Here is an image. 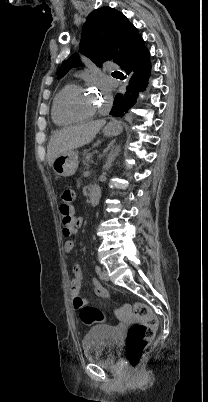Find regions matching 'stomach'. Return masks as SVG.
<instances>
[{"label": "stomach", "mask_w": 208, "mask_h": 402, "mask_svg": "<svg viewBox=\"0 0 208 402\" xmlns=\"http://www.w3.org/2000/svg\"><path fill=\"white\" fill-rule=\"evenodd\" d=\"M122 126L117 120H112L109 122L105 128H103V134L105 136H118L121 134ZM78 168V152L76 150H69L65 154H60L52 162V170L57 174V176H73Z\"/></svg>", "instance_id": "0dacf381"}]
</instances>
